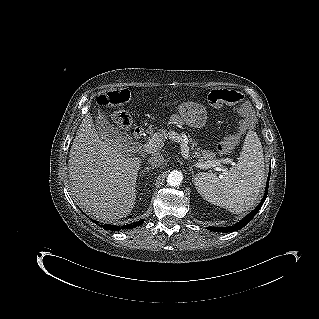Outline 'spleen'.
Returning a JSON list of instances; mask_svg holds the SVG:
<instances>
[{
    "mask_svg": "<svg viewBox=\"0 0 319 319\" xmlns=\"http://www.w3.org/2000/svg\"><path fill=\"white\" fill-rule=\"evenodd\" d=\"M264 167L260 139L256 132L249 131L235 166L222 177L200 172L195 176L194 183L197 191L207 201L238 214L256 202L264 185Z\"/></svg>",
    "mask_w": 319,
    "mask_h": 319,
    "instance_id": "3e777b00",
    "label": "spleen"
}]
</instances>
